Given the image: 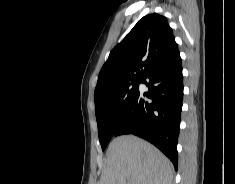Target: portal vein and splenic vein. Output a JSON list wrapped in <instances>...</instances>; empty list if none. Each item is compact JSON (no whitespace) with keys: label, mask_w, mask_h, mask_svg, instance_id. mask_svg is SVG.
<instances>
[{"label":"portal vein and splenic vein","mask_w":235,"mask_h":184,"mask_svg":"<svg viewBox=\"0 0 235 184\" xmlns=\"http://www.w3.org/2000/svg\"><path fill=\"white\" fill-rule=\"evenodd\" d=\"M123 184H126L125 180H123Z\"/></svg>","instance_id":"18ae733b"}]
</instances>
